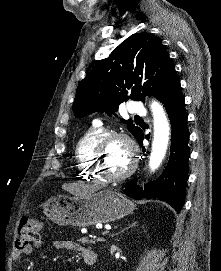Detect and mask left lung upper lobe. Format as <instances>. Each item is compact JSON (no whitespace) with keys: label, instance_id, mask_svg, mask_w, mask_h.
I'll return each mask as SVG.
<instances>
[{"label":"left lung upper lobe","instance_id":"obj_1","mask_svg":"<svg viewBox=\"0 0 221 271\" xmlns=\"http://www.w3.org/2000/svg\"><path fill=\"white\" fill-rule=\"evenodd\" d=\"M177 82L175 67L161 41L136 33L97 63L79 83L73 113L76 117L95 111L114 114L120 103L129 98L144 101L147 94L161 101ZM121 121L135 137L141 131L131 119Z\"/></svg>","mask_w":221,"mask_h":271}]
</instances>
